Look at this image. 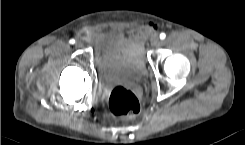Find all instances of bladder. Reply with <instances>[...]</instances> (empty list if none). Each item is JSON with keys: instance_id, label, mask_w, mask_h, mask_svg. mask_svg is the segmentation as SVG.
<instances>
[{"instance_id": "obj_1", "label": "bladder", "mask_w": 245, "mask_h": 145, "mask_svg": "<svg viewBox=\"0 0 245 145\" xmlns=\"http://www.w3.org/2000/svg\"><path fill=\"white\" fill-rule=\"evenodd\" d=\"M94 63L106 82H135L145 70L143 47L129 34L107 33L99 42Z\"/></svg>"}]
</instances>
